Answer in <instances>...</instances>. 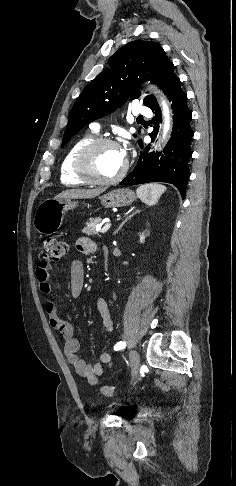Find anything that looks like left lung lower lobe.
Wrapping results in <instances>:
<instances>
[{
    "label": "left lung lower lobe",
    "instance_id": "obj_1",
    "mask_svg": "<svg viewBox=\"0 0 236 486\" xmlns=\"http://www.w3.org/2000/svg\"><path fill=\"white\" fill-rule=\"evenodd\" d=\"M163 91L167 94L168 99L172 101L174 124L171 138L163 153L155 154L154 152H149L151 148L148 145L140 154L134 170L120 184L171 183L178 188L182 198H184L190 177L188 161L192 155L190 144L194 134L190 127L192 113L187 106V94L181 89L178 77L170 80L163 88ZM148 107L155 113L153 121L161 122V111L156 100H153ZM153 123L156 124L155 122ZM157 132L158 128L154 127L153 132L150 134L152 140H154ZM139 145L141 147L143 145L141 140H139Z\"/></svg>",
    "mask_w": 236,
    "mask_h": 486
}]
</instances>
